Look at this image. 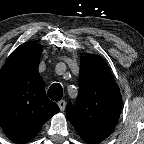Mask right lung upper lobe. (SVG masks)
I'll return each mask as SVG.
<instances>
[{"label": "right lung upper lobe", "mask_w": 144, "mask_h": 144, "mask_svg": "<svg viewBox=\"0 0 144 144\" xmlns=\"http://www.w3.org/2000/svg\"><path fill=\"white\" fill-rule=\"evenodd\" d=\"M42 46L20 45L0 71V127L16 143H27L60 111L45 93L38 66Z\"/></svg>", "instance_id": "1"}]
</instances>
